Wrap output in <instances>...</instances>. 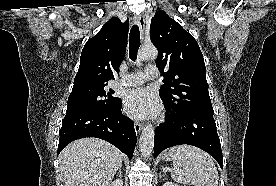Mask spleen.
I'll return each instance as SVG.
<instances>
[{"label": "spleen", "instance_id": "3e777b00", "mask_svg": "<svg viewBox=\"0 0 276 186\" xmlns=\"http://www.w3.org/2000/svg\"><path fill=\"white\" fill-rule=\"evenodd\" d=\"M168 156L173 168H167L178 183L195 186H218V171L210 155L197 147L179 145L172 147Z\"/></svg>", "mask_w": 276, "mask_h": 186}]
</instances>
